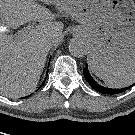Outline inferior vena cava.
<instances>
[{"label": "inferior vena cava", "mask_w": 135, "mask_h": 135, "mask_svg": "<svg viewBox=\"0 0 135 135\" xmlns=\"http://www.w3.org/2000/svg\"><path fill=\"white\" fill-rule=\"evenodd\" d=\"M50 44L53 45V41L52 40L50 41Z\"/></svg>", "instance_id": "1"}]
</instances>
